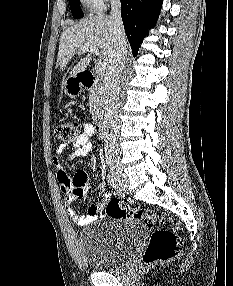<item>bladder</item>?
<instances>
[{
	"mask_svg": "<svg viewBox=\"0 0 233 286\" xmlns=\"http://www.w3.org/2000/svg\"><path fill=\"white\" fill-rule=\"evenodd\" d=\"M145 232V224L132 218L95 223L79 235L81 255L95 271L120 270L128 264Z\"/></svg>",
	"mask_w": 233,
	"mask_h": 286,
	"instance_id": "bladder-1",
	"label": "bladder"
}]
</instances>
